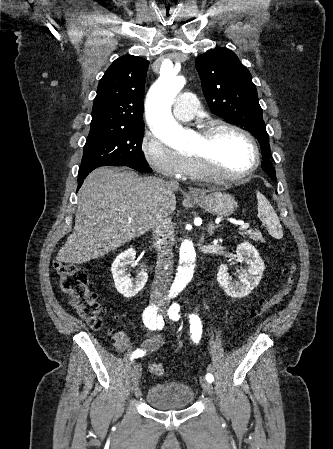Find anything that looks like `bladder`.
I'll list each match as a JSON object with an SVG mask.
<instances>
[{"mask_svg": "<svg viewBox=\"0 0 333 449\" xmlns=\"http://www.w3.org/2000/svg\"><path fill=\"white\" fill-rule=\"evenodd\" d=\"M192 387L182 382H164L151 385L146 392L147 403L157 409L186 408L194 401Z\"/></svg>", "mask_w": 333, "mask_h": 449, "instance_id": "obj_1", "label": "bladder"}]
</instances>
